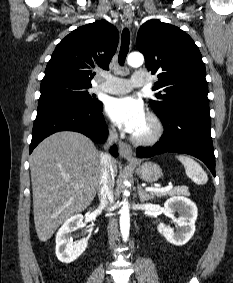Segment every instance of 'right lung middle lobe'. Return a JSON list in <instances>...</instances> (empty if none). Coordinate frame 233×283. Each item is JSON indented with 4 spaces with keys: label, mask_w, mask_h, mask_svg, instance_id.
Wrapping results in <instances>:
<instances>
[{
    "label": "right lung middle lobe",
    "mask_w": 233,
    "mask_h": 283,
    "mask_svg": "<svg viewBox=\"0 0 233 283\" xmlns=\"http://www.w3.org/2000/svg\"><path fill=\"white\" fill-rule=\"evenodd\" d=\"M91 86L79 85L66 80L41 82L38 105L47 102H63L85 108H96L102 103L90 95Z\"/></svg>",
    "instance_id": "1"
}]
</instances>
